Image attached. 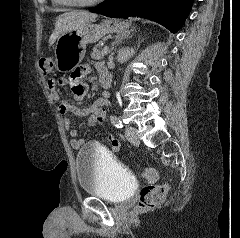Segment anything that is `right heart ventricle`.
Here are the masks:
<instances>
[{
	"label": "right heart ventricle",
	"instance_id": "right-heart-ventricle-1",
	"mask_svg": "<svg viewBox=\"0 0 240 238\" xmlns=\"http://www.w3.org/2000/svg\"><path fill=\"white\" fill-rule=\"evenodd\" d=\"M52 1H53V3H55V4L65 5V4L63 3V0H52Z\"/></svg>",
	"mask_w": 240,
	"mask_h": 238
}]
</instances>
